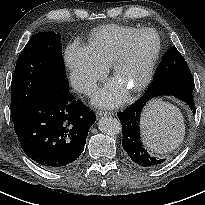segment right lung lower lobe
<instances>
[{
    "instance_id": "obj_1",
    "label": "right lung lower lobe",
    "mask_w": 205,
    "mask_h": 205,
    "mask_svg": "<svg viewBox=\"0 0 205 205\" xmlns=\"http://www.w3.org/2000/svg\"><path fill=\"white\" fill-rule=\"evenodd\" d=\"M95 120V114L67 90L41 98L14 123V130L28 157L58 171L76 163Z\"/></svg>"
}]
</instances>
